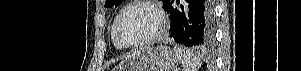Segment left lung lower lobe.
Segmentation results:
<instances>
[{
  "mask_svg": "<svg viewBox=\"0 0 301 71\" xmlns=\"http://www.w3.org/2000/svg\"><path fill=\"white\" fill-rule=\"evenodd\" d=\"M168 0L165 7L170 13L171 36L176 44L205 48L214 41V13L211 0Z\"/></svg>",
  "mask_w": 301,
  "mask_h": 71,
  "instance_id": "0a47b994",
  "label": "left lung lower lobe"
}]
</instances>
